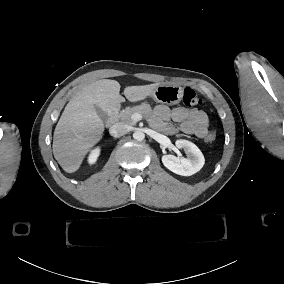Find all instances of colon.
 <instances>
[{
    "mask_svg": "<svg viewBox=\"0 0 284 284\" xmlns=\"http://www.w3.org/2000/svg\"><path fill=\"white\" fill-rule=\"evenodd\" d=\"M183 102L187 106H192V105H202L203 104V99L200 97L196 96V93L194 90L191 88H186L185 93H184V99ZM216 139V135L211 132L206 136V141L208 143L214 142Z\"/></svg>",
    "mask_w": 284,
    "mask_h": 284,
    "instance_id": "1",
    "label": "colon"
}]
</instances>
